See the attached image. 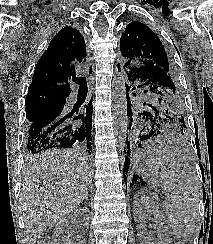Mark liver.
<instances>
[{"label":"liver","instance_id":"liver-1","mask_svg":"<svg viewBox=\"0 0 213 244\" xmlns=\"http://www.w3.org/2000/svg\"><path fill=\"white\" fill-rule=\"evenodd\" d=\"M88 167L82 154L49 149L33 156L21 184L23 219L31 244L83 201Z\"/></svg>","mask_w":213,"mask_h":244}]
</instances>
